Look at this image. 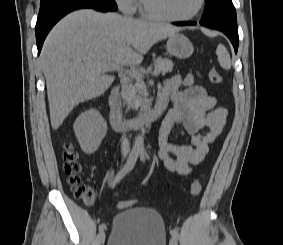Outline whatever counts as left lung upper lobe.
<instances>
[{"instance_id": "1", "label": "left lung upper lobe", "mask_w": 283, "mask_h": 245, "mask_svg": "<svg viewBox=\"0 0 283 245\" xmlns=\"http://www.w3.org/2000/svg\"><path fill=\"white\" fill-rule=\"evenodd\" d=\"M205 2L201 24L238 32L236 11L231 0H205Z\"/></svg>"}]
</instances>
